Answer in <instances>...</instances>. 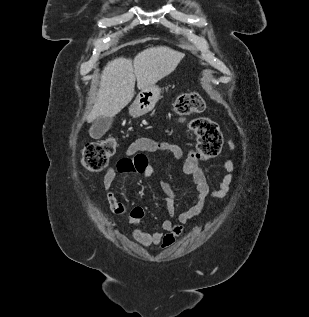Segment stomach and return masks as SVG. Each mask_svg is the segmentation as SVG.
<instances>
[{
  "label": "stomach",
  "instance_id": "obj_1",
  "mask_svg": "<svg viewBox=\"0 0 309 317\" xmlns=\"http://www.w3.org/2000/svg\"><path fill=\"white\" fill-rule=\"evenodd\" d=\"M161 89L152 86L141 90L129 108V113L136 118L150 112L160 99Z\"/></svg>",
  "mask_w": 309,
  "mask_h": 317
}]
</instances>
